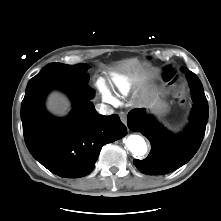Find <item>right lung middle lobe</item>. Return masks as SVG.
Returning a JSON list of instances; mask_svg holds the SVG:
<instances>
[{"label":"right lung middle lobe","mask_w":221,"mask_h":221,"mask_svg":"<svg viewBox=\"0 0 221 221\" xmlns=\"http://www.w3.org/2000/svg\"><path fill=\"white\" fill-rule=\"evenodd\" d=\"M88 68L89 66L85 63L77 65L51 63L43 67L33 78L53 79L70 84H85L89 78L87 74Z\"/></svg>","instance_id":"obj_1"}]
</instances>
